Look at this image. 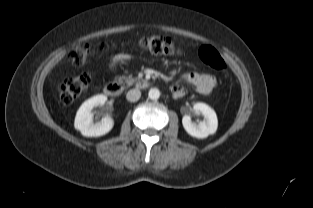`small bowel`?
<instances>
[{
  "mask_svg": "<svg viewBox=\"0 0 313 208\" xmlns=\"http://www.w3.org/2000/svg\"><path fill=\"white\" fill-rule=\"evenodd\" d=\"M129 59L130 56L128 54L119 53L112 58L110 67L111 69H115L119 65L129 61ZM184 84L191 85L194 90L201 95H209L215 86V79L208 74L186 72L178 81L171 85V93L174 97L181 98L186 95L187 90Z\"/></svg>",
  "mask_w": 313,
  "mask_h": 208,
  "instance_id": "small-bowel-1",
  "label": "small bowel"
}]
</instances>
